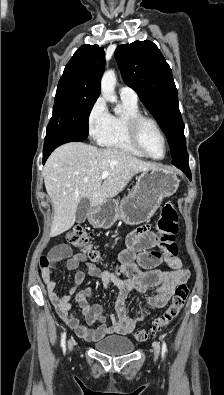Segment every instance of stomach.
Masks as SVG:
<instances>
[{
  "mask_svg": "<svg viewBox=\"0 0 224 395\" xmlns=\"http://www.w3.org/2000/svg\"><path fill=\"white\" fill-rule=\"evenodd\" d=\"M180 180L171 167L158 166L143 171L137 178L134 189L120 203L107 200L95 207L89 217L97 228H110L118 219L129 225L148 221L166 197L173 195Z\"/></svg>",
  "mask_w": 224,
  "mask_h": 395,
  "instance_id": "obj_1",
  "label": "stomach"
}]
</instances>
